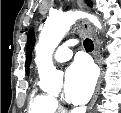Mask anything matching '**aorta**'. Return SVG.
I'll use <instances>...</instances> for the list:
<instances>
[{
    "mask_svg": "<svg viewBox=\"0 0 121 113\" xmlns=\"http://www.w3.org/2000/svg\"><path fill=\"white\" fill-rule=\"evenodd\" d=\"M81 17H87L97 28H102L96 16L82 12L54 13L45 21L36 46L35 62L41 87L46 91H52L61 84L62 76L53 65L52 55L70 27Z\"/></svg>",
    "mask_w": 121,
    "mask_h": 113,
    "instance_id": "1",
    "label": "aorta"
}]
</instances>
